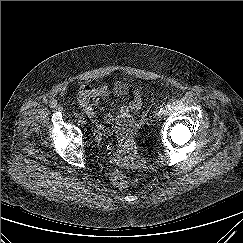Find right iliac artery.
Here are the masks:
<instances>
[{
  "label": "right iliac artery",
  "instance_id": "right-iliac-artery-1",
  "mask_svg": "<svg viewBox=\"0 0 243 243\" xmlns=\"http://www.w3.org/2000/svg\"><path fill=\"white\" fill-rule=\"evenodd\" d=\"M74 115H75V117H76L77 119L81 118V116H80L79 113H75Z\"/></svg>",
  "mask_w": 243,
  "mask_h": 243
}]
</instances>
